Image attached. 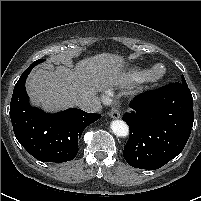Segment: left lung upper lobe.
I'll use <instances>...</instances> for the list:
<instances>
[{
	"mask_svg": "<svg viewBox=\"0 0 201 201\" xmlns=\"http://www.w3.org/2000/svg\"><path fill=\"white\" fill-rule=\"evenodd\" d=\"M182 83H186L184 76L182 75Z\"/></svg>",
	"mask_w": 201,
	"mask_h": 201,
	"instance_id": "left-lung-upper-lobe-1",
	"label": "left lung upper lobe"
}]
</instances>
